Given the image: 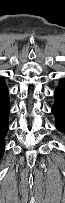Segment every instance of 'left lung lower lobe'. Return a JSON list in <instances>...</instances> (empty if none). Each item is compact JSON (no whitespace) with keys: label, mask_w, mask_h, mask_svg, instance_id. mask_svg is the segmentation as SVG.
<instances>
[{"label":"left lung lower lobe","mask_w":65,"mask_h":203,"mask_svg":"<svg viewBox=\"0 0 65 203\" xmlns=\"http://www.w3.org/2000/svg\"><path fill=\"white\" fill-rule=\"evenodd\" d=\"M55 102L52 107V113L55 116L56 128L65 134V79L60 82L54 92Z\"/></svg>","instance_id":"obj_1"}]
</instances>
